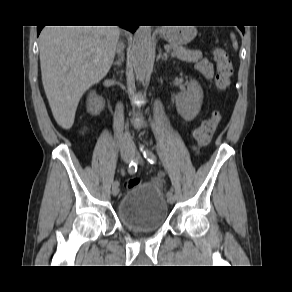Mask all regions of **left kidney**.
<instances>
[{"mask_svg":"<svg viewBox=\"0 0 292 292\" xmlns=\"http://www.w3.org/2000/svg\"><path fill=\"white\" fill-rule=\"evenodd\" d=\"M203 92L195 80H191L187 89L175 97L177 112L185 121H192L201 109Z\"/></svg>","mask_w":292,"mask_h":292,"instance_id":"obj_1","label":"left kidney"}]
</instances>
